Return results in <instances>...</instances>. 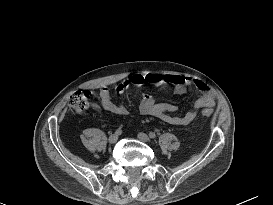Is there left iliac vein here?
Returning <instances> with one entry per match:
<instances>
[{
	"mask_svg": "<svg viewBox=\"0 0 273 205\" xmlns=\"http://www.w3.org/2000/svg\"><path fill=\"white\" fill-rule=\"evenodd\" d=\"M137 137L139 140H141L143 142H149V140H150L148 135L145 133H142V132L138 133Z\"/></svg>",
	"mask_w": 273,
	"mask_h": 205,
	"instance_id": "4c4485c4",
	"label": "left iliac vein"
}]
</instances>
